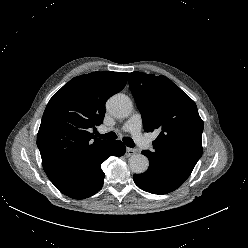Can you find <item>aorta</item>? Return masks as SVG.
Returning <instances> with one entry per match:
<instances>
[{
    "label": "aorta",
    "instance_id": "aorta-1",
    "mask_svg": "<svg viewBox=\"0 0 248 248\" xmlns=\"http://www.w3.org/2000/svg\"><path fill=\"white\" fill-rule=\"evenodd\" d=\"M132 109L130 98L123 94H116L107 101L108 112L116 118H127L132 113ZM148 166L149 160L143 154H134L129 158V167L133 173H144Z\"/></svg>",
    "mask_w": 248,
    "mask_h": 248
}]
</instances>
